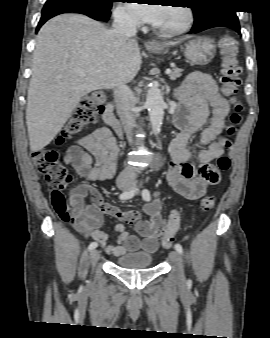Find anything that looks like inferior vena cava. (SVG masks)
<instances>
[{
  "instance_id": "inferior-vena-cava-1",
  "label": "inferior vena cava",
  "mask_w": 270,
  "mask_h": 338,
  "mask_svg": "<svg viewBox=\"0 0 270 338\" xmlns=\"http://www.w3.org/2000/svg\"><path fill=\"white\" fill-rule=\"evenodd\" d=\"M113 34L119 38L134 37L137 33L136 21L124 12L114 14ZM114 98L117 112L127 138L132 144V130L136 126V115L133 112V94L126 84H120L114 89ZM137 170L132 166H127L119 175V180L129 181L136 178Z\"/></svg>"
}]
</instances>
